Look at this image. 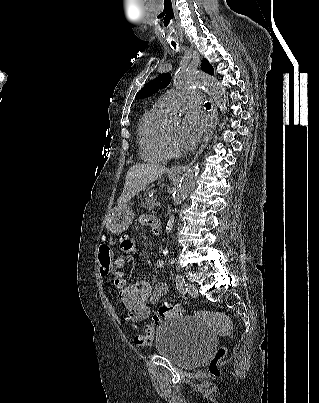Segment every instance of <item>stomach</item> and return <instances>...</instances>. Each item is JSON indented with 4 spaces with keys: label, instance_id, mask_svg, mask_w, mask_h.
<instances>
[{
    "label": "stomach",
    "instance_id": "obj_1",
    "mask_svg": "<svg viewBox=\"0 0 319 403\" xmlns=\"http://www.w3.org/2000/svg\"><path fill=\"white\" fill-rule=\"evenodd\" d=\"M134 213L128 205L124 204L114 208L106 219V228L113 234L126 231L132 224Z\"/></svg>",
    "mask_w": 319,
    "mask_h": 403
}]
</instances>
